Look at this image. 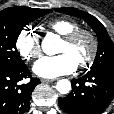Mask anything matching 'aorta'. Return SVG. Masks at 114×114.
<instances>
[{"label": "aorta", "mask_w": 114, "mask_h": 114, "mask_svg": "<svg viewBox=\"0 0 114 114\" xmlns=\"http://www.w3.org/2000/svg\"><path fill=\"white\" fill-rule=\"evenodd\" d=\"M59 40L58 36L49 34L42 41V49L48 55L56 52L55 44ZM56 89L61 94H67L71 90V83L67 79H61L57 82Z\"/></svg>", "instance_id": "1"}]
</instances>
